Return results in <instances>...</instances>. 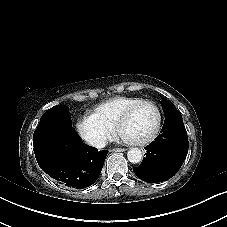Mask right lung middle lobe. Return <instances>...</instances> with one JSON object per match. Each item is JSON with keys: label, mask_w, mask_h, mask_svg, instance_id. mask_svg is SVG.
<instances>
[{"label": "right lung middle lobe", "mask_w": 227, "mask_h": 227, "mask_svg": "<svg viewBox=\"0 0 227 227\" xmlns=\"http://www.w3.org/2000/svg\"><path fill=\"white\" fill-rule=\"evenodd\" d=\"M44 128H58L67 136V138L81 140L72 128L71 113L65 105L54 106L43 114L35 132Z\"/></svg>", "instance_id": "right-lung-middle-lobe-1"}]
</instances>
